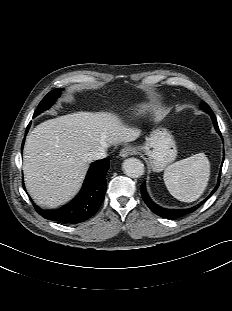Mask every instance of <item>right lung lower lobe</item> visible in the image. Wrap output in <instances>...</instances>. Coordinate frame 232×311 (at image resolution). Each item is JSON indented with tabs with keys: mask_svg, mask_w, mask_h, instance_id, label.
Returning <instances> with one entry per match:
<instances>
[{
	"mask_svg": "<svg viewBox=\"0 0 232 311\" xmlns=\"http://www.w3.org/2000/svg\"><path fill=\"white\" fill-rule=\"evenodd\" d=\"M30 124L31 122L26 129V133ZM109 167L110 161L108 158L96 161L90 166L81 191L70 203L57 210H43L33 204L36 211L45 219L64 224H77L92 217L104 200L107 184L105 174Z\"/></svg>",
	"mask_w": 232,
	"mask_h": 311,
	"instance_id": "right-lung-lower-lobe-1",
	"label": "right lung lower lobe"
}]
</instances>
